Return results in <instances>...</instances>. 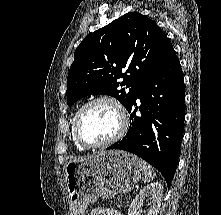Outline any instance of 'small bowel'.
<instances>
[{
	"mask_svg": "<svg viewBox=\"0 0 221 215\" xmlns=\"http://www.w3.org/2000/svg\"><path fill=\"white\" fill-rule=\"evenodd\" d=\"M89 215H122L120 211L113 208H97L93 210Z\"/></svg>",
	"mask_w": 221,
	"mask_h": 215,
	"instance_id": "small-bowel-1",
	"label": "small bowel"
}]
</instances>
